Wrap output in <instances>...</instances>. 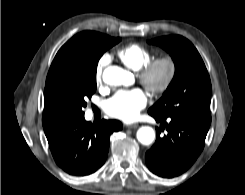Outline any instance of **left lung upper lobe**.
<instances>
[{
  "label": "left lung upper lobe",
  "instance_id": "1",
  "mask_svg": "<svg viewBox=\"0 0 245 195\" xmlns=\"http://www.w3.org/2000/svg\"><path fill=\"white\" fill-rule=\"evenodd\" d=\"M165 49L175 63V75L163 96L148 110L161 117L180 115L211 119V82L194 45L180 35L148 41Z\"/></svg>",
  "mask_w": 245,
  "mask_h": 195
}]
</instances>
